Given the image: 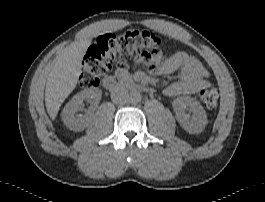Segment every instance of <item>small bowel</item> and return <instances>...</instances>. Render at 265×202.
I'll return each mask as SVG.
<instances>
[{
    "instance_id": "small-bowel-1",
    "label": "small bowel",
    "mask_w": 265,
    "mask_h": 202,
    "mask_svg": "<svg viewBox=\"0 0 265 202\" xmlns=\"http://www.w3.org/2000/svg\"><path fill=\"white\" fill-rule=\"evenodd\" d=\"M150 72L158 76H166L180 69L179 80L166 87L164 94L168 97H175L182 94H195L199 90L208 87L209 82L207 69L194 56L179 51L163 58L160 54L150 66Z\"/></svg>"
}]
</instances>
